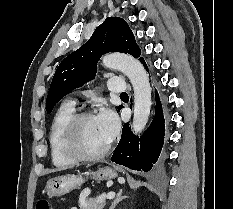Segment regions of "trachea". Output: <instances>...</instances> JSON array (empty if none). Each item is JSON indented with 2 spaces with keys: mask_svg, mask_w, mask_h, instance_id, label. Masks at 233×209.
I'll use <instances>...</instances> for the list:
<instances>
[{
  "mask_svg": "<svg viewBox=\"0 0 233 209\" xmlns=\"http://www.w3.org/2000/svg\"><path fill=\"white\" fill-rule=\"evenodd\" d=\"M128 94L126 92H123L120 94V96H127Z\"/></svg>",
  "mask_w": 233,
  "mask_h": 209,
  "instance_id": "3493384b",
  "label": "trachea"
}]
</instances>
